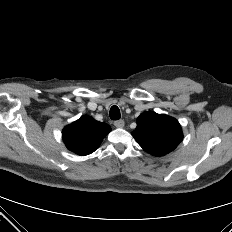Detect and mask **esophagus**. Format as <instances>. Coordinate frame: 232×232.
<instances>
[{"label":"esophagus","mask_w":232,"mask_h":232,"mask_svg":"<svg viewBox=\"0 0 232 232\" xmlns=\"http://www.w3.org/2000/svg\"><path fill=\"white\" fill-rule=\"evenodd\" d=\"M114 125L117 127V128H123L125 123H124V120H116L114 122Z\"/></svg>","instance_id":"obj_1"}]
</instances>
